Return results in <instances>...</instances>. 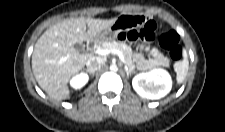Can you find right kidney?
<instances>
[{
  "instance_id": "obj_1",
  "label": "right kidney",
  "mask_w": 225,
  "mask_h": 132,
  "mask_svg": "<svg viewBox=\"0 0 225 132\" xmlns=\"http://www.w3.org/2000/svg\"><path fill=\"white\" fill-rule=\"evenodd\" d=\"M88 80H89V77L87 74L80 73L70 80V85L74 89H80L88 82Z\"/></svg>"
}]
</instances>
